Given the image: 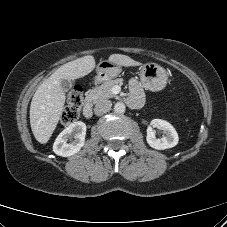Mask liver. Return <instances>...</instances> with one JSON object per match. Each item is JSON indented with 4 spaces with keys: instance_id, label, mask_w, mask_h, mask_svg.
Here are the masks:
<instances>
[{
    "instance_id": "6515ba94",
    "label": "liver",
    "mask_w": 227,
    "mask_h": 227,
    "mask_svg": "<svg viewBox=\"0 0 227 227\" xmlns=\"http://www.w3.org/2000/svg\"><path fill=\"white\" fill-rule=\"evenodd\" d=\"M109 61L118 66H138L141 63L129 56L112 54ZM95 59L87 55L62 65L36 90L30 105V125L35 139L45 144L49 141L62 115L65 93L61 80H75L88 75L95 68Z\"/></svg>"
}]
</instances>
